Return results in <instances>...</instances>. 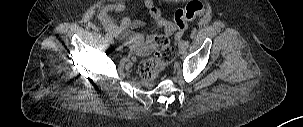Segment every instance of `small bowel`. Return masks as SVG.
<instances>
[{
  "mask_svg": "<svg viewBox=\"0 0 303 127\" xmlns=\"http://www.w3.org/2000/svg\"><path fill=\"white\" fill-rule=\"evenodd\" d=\"M124 10L125 4L123 2L106 4L99 8L96 17L107 32L119 39L133 53L138 55L149 53L152 48L151 42L157 34L144 36L134 32V30L145 25L140 20L130 17H123L117 20L113 17L112 14L121 13ZM143 10L156 24L159 34L165 37H172L176 34L175 25L162 17L161 11L155 6L153 0H144Z\"/></svg>",
  "mask_w": 303,
  "mask_h": 127,
  "instance_id": "1",
  "label": "small bowel"
}]
</instances>
